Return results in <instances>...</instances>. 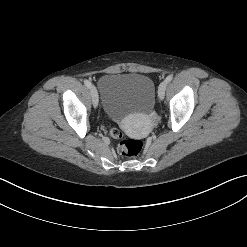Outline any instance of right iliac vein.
I'll list each match as a JSON object with an SVG mask.
<instances>
[{"label":"right iliac vein","instance_id":"63e3f726","mask_svg":"<svg viewBox=\"0 0 247 247\" xmlns=\"http://www.w3.org/2000/svg\"><path fill=\"white\" fill-rule=\"evenodd\" d=\"M90 89H91L93 106L96 108L98 106V103H99L98 93H97L95 86L92 85Z\"/></svg>","mask_w":247,"mask_h":247}]
</instances>
